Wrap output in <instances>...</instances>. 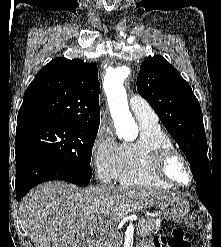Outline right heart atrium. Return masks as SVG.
<instances>
[{
  "label": "right heart atrium",
  "mask_w": 221,
  "mask_h": 247,
  "mask_svg": "<svg viewBox=\"0 0 221 247\" xmlns=\"http://www.w3.org/2000/svg\"><path fill=\"white\" fill-rule=\"evenodd\" d=\"M120 150L111 130L101 127L91 146V163L100 181L110 183L116 179Z\"/></svg>",
  "instance_id": "1"
}]
</instances>
